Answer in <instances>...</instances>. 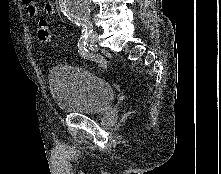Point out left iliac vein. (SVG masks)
<instances>
[{"instance_id": "4c4485c4", "label": "left iliac vein", "mask_w": 221, "mask_h": 174, "mask_svg": "<svg viewBox=\"0 0 221 174\" xmlns=\"http://www.w3.org/2000/svg\"><path fill=\"white\" fill-rule=\"evenodd\" d=\"M88 43L91 45H95L98 41V33L96 31H93L87 38Z\"/></svg>"}]
</instances>
